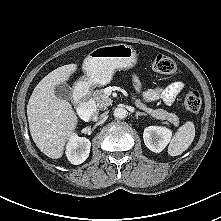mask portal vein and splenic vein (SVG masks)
Here are the masks:
<instances>
[{
  "instance_id": "obj_1",
  "label": "portal vein and splenic vein",
  "mask_w": 221,
  "mask_h": 221,
  "mask_svg": "<svg viewBox=\"0 0 221 221\" xmlns=\"http://www.w3.org/2000/svg\"><path fill=\"white\" fill-rule=\"evenodd\" d=\"M108 91H111V88H107Z\"/></svg>"
}]
</instances>
